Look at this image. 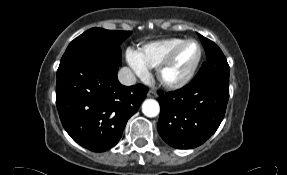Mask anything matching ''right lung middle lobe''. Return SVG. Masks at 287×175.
<instances>
[{"label":"right lung middle lobe","mask_w":287,"mask_h":175,"mask_svg":"<svg viewBox=\"0 0 287 175\" xmlns=\"http://www.w3.org/2000/svg\"><path fill=\"white\" fill-rule=\"evenodd\" d=\"M130 34V31H111L97 27L87 30L69 44L59 66L86 57H104L121 64L120 44Z\"/></svg>","instance_id":"right-lung-middle-lobe-1"}]
</instances>
